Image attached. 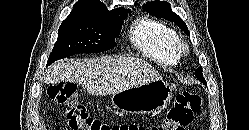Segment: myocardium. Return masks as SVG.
Segmentation results:
<instances>
[{
	"label": "myocardium",
	"mask_w": 249,
	"mask_h": 130,
	"mask_svg": "<svg viewBox=\"0 0 249 130\" xmlns=\"http://www.w3.org/2000/svg\"><path fill=\"white\" fill-rule=\"evenodd\" d=\"M189 51V46L188 44L181 40V39H178L175 43V52L178 56H184L188 53Z\"/></svg>",
	"instance_id": "f54148a6"
}]
</instances>
